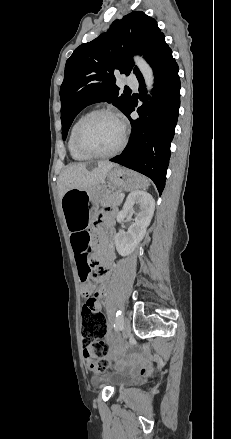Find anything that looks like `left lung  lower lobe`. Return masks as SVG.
Masks as SVG:
<instances>
[{
  "label": "left lung lower lobe",
  "mask_w": 231,
  "mask_h": 439,
  "mask_svg": "<svg viewBox=\"0 0 231 439\" xmlns=\"http://www.w3.org/2000/svg\"><path fill=\"white\" fill-rule=\"evenodd\" d=\"M152 68L155 74L153 98L146 108V89L141 76L138 78L139 93L144 104L137 109L140 118L133 120L130 117L135 105L131 100L124 112L132 126L129 144L120 155L110 161L146 175L153 180L161 194L171 155L170 144L179 115L180 78L178 65L169 47L162 52ZM146 113L147 124L143 122Z\"/></svg>",
  "instance_id": "0a47b994"
}]
</instances>
